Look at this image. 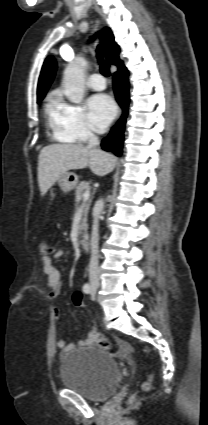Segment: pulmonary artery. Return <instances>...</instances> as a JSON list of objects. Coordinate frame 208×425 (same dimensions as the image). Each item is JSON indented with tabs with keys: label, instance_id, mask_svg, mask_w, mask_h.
<instances>
[{
	"label": "pulmonary artery",
	"instance_id": "1",
	"mask_svg": "<svg viewBox=\"0 0 208 425\" xmlns=\"http://www.w3.org/2000/svg\"><path fill=\"white\" fill-rule=\"evenodd\" d=\"M87 85L96 91H101L106 87L104 77L99 73L91 74L88 78Z\"/></svg>",
	"mask_w": 208,
	"mask_h": 425
}]
</instances>
